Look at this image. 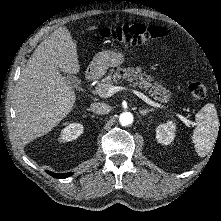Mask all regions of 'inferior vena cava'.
Returning a JSON list of instances; mask_svg holds the SVG:
<instances>
[{"mask_svg": "<svg viewBox=\"0 0 221 221\" xmlns=\"http://www.w3.org/2000/svg\"><path fill=\"white\" fill-rule=\"evenodd\" d=\"M111 107L105 103H92L90 110L95 114L104 115L110 111Z\"/></svg>", "mask_w": 221, "mask_h": 221, "instance_id": "inferior-vena-cava-1", "label": "inferior vena cava"}]
</instances>
